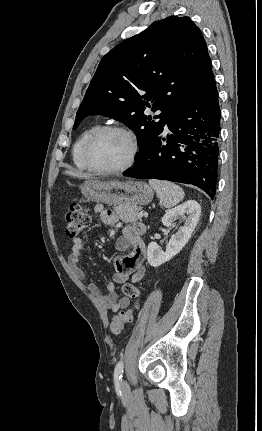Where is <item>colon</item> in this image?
Returning <instances> with one entry per match:
<instances>
[{"label": "colon", "instance_id": "5ec220e1", "mask_svg": "<svg viewBox=\"0 0 262 431\" xmlns=\"http://www.w3.org/2000/svg\"><path fill=\"white\" fill-rule=\"evenodd\" d=\"M91 222V214L88 209L74 202L71 204L66 214V235L69 238H74L79 235ZM124 296L133 300L131 307L125 311H121L110 322V332L117 336L124 326L133 320V314L140 307L141 291L131 283H124L122 286Z\"/></svg>", "mask_w": 262, "mask_h": 431}]
</instances>
